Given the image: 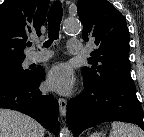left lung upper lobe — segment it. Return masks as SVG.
<instances>
[{
    "instance_id": "5c2ea615",
    "label": "left lung upper lobe",
    "mask_w": 144,
    "mask_h": 137,
    "mask_svg": "<svg viewBox=\"0 0 144 137\" xmlns=\"http://www.w3.org/2000/svg\"><path fill=\"white\" fill-rule=\"evenodd\" d=\"M82 37L97 46L82 70L84 85L118 84L135 87L130 77L129 32L124 16L106 0H78Z\"/></svg>"
}]
</instances>
